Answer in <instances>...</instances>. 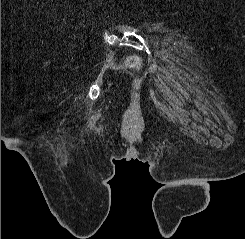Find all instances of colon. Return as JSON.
<instances>
[{"label":"colon","instance_id":"5ec220e1","mask_svg":"<svg viewBox=\"0 0 245 239\" xmlns=\"http://www.w3.org/2000/svg\"><path fill=\"white\" fill-rule=\"evenodd\" d=\"M125 66L130 70H136L140 67L141 61L137 56H129L124 61Z\"/></svg>","mask_w":245,"mask_h":239}]
</instances>
